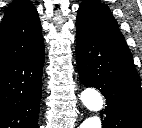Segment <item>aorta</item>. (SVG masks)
<instances>
[{
    "mask_svg": "<svg viewBox=\"0 0 142 128\" xmlns=\"http://www.w3.org/2000/svg\"><path fill=\"white\" fill-rule=\"evenodd\" d=\"M80 99L83 105L90 111L99 112L103 109V98L96 89H84ZM80 128H101V119L98 115L91 116L81 123Z\"/></svg>",
    "mask_w": 142,
    "mask_h": 128,
    "instance_id": "obj_1",
    "label": "aorta"
}]
</instances>
